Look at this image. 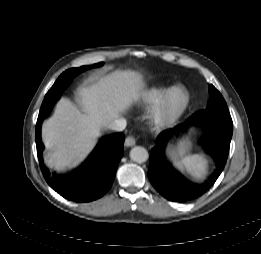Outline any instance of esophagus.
I'll list each match as a JSON object with an SVG mask.
<instances>
[{
    "label": "esophagus",
    "mask_w": 261,
    "mask_h": 254,
    "mask_svg": "<svg viewBox=\"0 0 261 254\" xmlns=\"http://www.w3.org/2000/svg\"><path fill=\"white\" fill-rule=\"evenodd\" d=\"M125 146L126 147H131V146H134L136 144V139L132 136H128L126 139H125Z\"/></svg>",
    "instance_id": "obj_1"
}]
</instances>
